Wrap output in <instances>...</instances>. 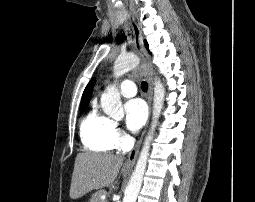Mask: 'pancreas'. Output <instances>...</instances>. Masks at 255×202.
I'll return each instance as SVG.
<instances>
[{
  "instance_id": "obj_1",
  "label": "pancreas",
  "mask_w": 255,
  "mask_h": 202,
  "mask_svg": "<svg viewBox=\"0 0 255 202\" xmlns=\"http://www.w3.org/2000/svg\"><path fill=\"white\" fill-rule=\"evenodd\" d=\"M106 194H107V192H106L105 190L96 191V192L92 195V197H91V199H90L89 202H103V201L101 200V196H102V195H106Z\"/></svg>"
}]
</instances>
